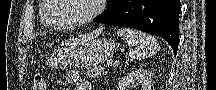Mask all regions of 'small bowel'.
Wrapping results in <instances>:
<instances>
[{"label": "small bowel", "instance_id": "obj_1", "mask_svg": "<svg viewBox=\"0 0 216 90\" xmlns=\"http://www.w3.org/2000/svg\"><path fill=\"white\" fill-rule=\"evenodd\" d=\"M66 81L68 84L74 86L76 90H92L91 84L83 79L82 75L77 70L68 71L66 74Z\"/></svg>", "mask_w": 216, "mask_h": 90}]
</instances>
